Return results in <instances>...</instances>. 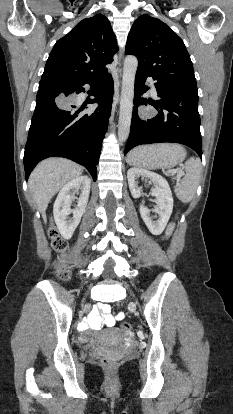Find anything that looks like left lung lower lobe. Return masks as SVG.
<instances>
[{
  "label": "left lung lower lobe",
  "instance_id": "left-lung-lower-lobe-1",
  "mask_svg": "<svg viewBox=\"0 0 233 414\" xmlns=\"http://www.w3.org/2000/svg\"><path fill=\"white\" fill-rule=\"evenodd\" d=\"M147 76L144 72H136L131 129L124 155L138 145L174 142L192 148L202 158L197 86L157 81L155 87L160 99L151 102L141 97L149 89L144 85ZM147 103L158 113L153 118L141 119L138 107Z\"/></svg>",
  "mask_w": 233,
  "mask_h": 414
}]
</instances>
